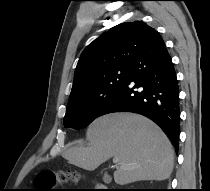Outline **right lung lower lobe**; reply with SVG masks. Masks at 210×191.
<instances>
[{"label":"right lung lower lobe","mask_w":210,"mask_h":191,"mask_svg":"<svg viewBox=\"0 0 210 191\" xmlns=\"http://www.w3.org/2000/svg\"><path fill=\"white\" fill-rule=\"evenodd\" d=\"M122 111L153 120L178 149L179 88L171 57L159 34L132 61L128 80L106 102L99 116Z\"/></svg>","instance_id":"1"}]
</instances>
